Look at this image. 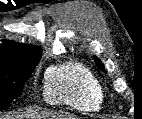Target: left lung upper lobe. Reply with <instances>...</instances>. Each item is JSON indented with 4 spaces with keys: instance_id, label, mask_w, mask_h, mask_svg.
Segmentation results:
<instances>
[{
    "instance_id": "5c2ea615",
    "label": "left lung upper lobe",
    "mask_w": 142,
    "mask_h": 119,
    "mask_svg": "<svg viewBox=\"0 0 142 119\" xmlns=\"http://www.w3.org/2000/svg\"><path fill=\"white\" fill-rule=\"evenodd\" d=\"M95 62L97 63L98 67H100V69H102L103 71H105L102 62L97 57H95Z\"/></svg>"
}]
</instances>
